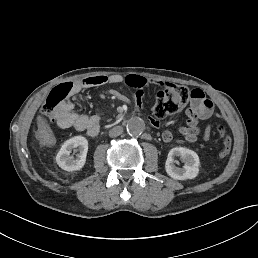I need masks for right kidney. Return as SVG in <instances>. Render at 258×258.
<instances>
[{
    "instance_id": "right-kidney-1",
    "label": "right kidney",
    "mask_w": 258,
    "mask_h": 258,
    "mask_svg": "<svg viewBox=\"0 0 258 258\" xmlns=\"http://www.w3.org/2000/svg\"><path fill=\"white\" fill-rule=\"evenodd\" d=\"M87 150L88 143L84 137H73L62 145L56 156V162L67 171L80 169L85 162ZM72 151L76 153L75 157L70 155Z\"/></svg>"
}]
</instances>
